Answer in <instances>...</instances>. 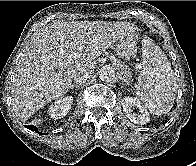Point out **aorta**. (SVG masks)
<instances>
[{
  "mask_svg": "<svg viewBox=\"0 0 196 166\" xmlns=\"http://www.w3.org/2000/svg\"><path fill=\"white\" fill-rule=\"evenodd\" d=\"M99 78L103 82H111L115 78V71L110 65H104L99 70Z\"/></svg>",
  "mask_w": 196,
  "mask_h": 166,
  "instance_id": "obj_1",
  "label": "aorta"
}]
</instances>
